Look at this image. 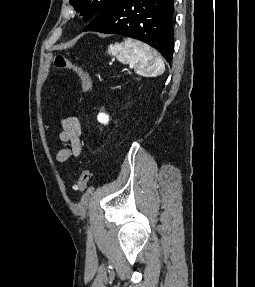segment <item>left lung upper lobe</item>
<instances>
[{
  "instance_id": "1",
  "label": "left lung upper lobe",
  "mask_w": 255,
  "mask_h": 287,
  "mask_svg": "<svg viewBox=\"0 0 255 287\" xmlns=\"http://www.w3.org/2000/svg\"><path fill=\"white\" fill-rule=\"evenodd\" d=\"M75 10L87 20L99 14L112 0H69Z\"/></svg>"
}]
</instances>
